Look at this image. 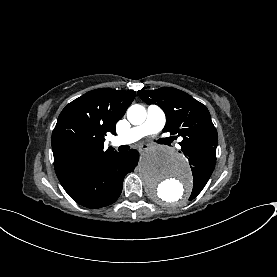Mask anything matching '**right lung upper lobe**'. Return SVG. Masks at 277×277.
<instances>
[{
	"instance_id": "cb5924a9",
	"label": "right lung upper lobe",
	"mask_w": 277,
	"mask_h": 277,
	"mask_svg": "<svg viewBox=\"0 0 277 277\" xmlns=\"http://www.w3.org/2000/svg\"><path fill=\"white\" fill-rule=\"evenodd\" d=\"M136 92L99 88L69 103L60 113L52 133L54 167L59 181L90 162L114 152L103 150L107 133L116 134V123Z\"/></svg>"
}]
</instances>
